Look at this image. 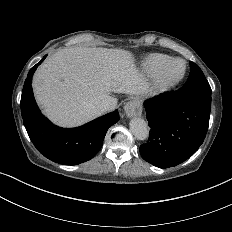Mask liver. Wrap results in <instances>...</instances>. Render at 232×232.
<instances>
[{
    "label": "liver",
    "mask_w": 232,
    "mask_h": 232,
    "mask_svg": "<svg viewBox=\"0 0 232 232\" xmlns=\"http://www.w3.org/2000/svg\"><path fill=\"white\" fill-rule=\"evenodd\" d=\"M137 84L130 53L86 47L58 50L38 68L33 80L45 114L66 126L101 115L97 106L104 99L113 93L133 94Z\"/></svg>",
    "instance_id": "6515ba94"
}]
</instances>
